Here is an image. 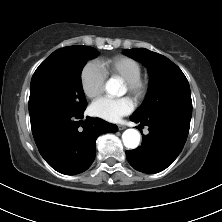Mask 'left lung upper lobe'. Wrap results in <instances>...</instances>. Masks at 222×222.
Returning a JSON list of instances; mask_svg holds the SVG:
<instances>
[{
    "label": "left lung upper lobe",
    "mask_w": 222,
    "mask_h": 222,
    "mask_svg": "<svg viewBox=\"0 0 222 222\" xmlns=\"http://www.w3.org/2000/svg\"><path fill=\"white\" fill-rule=\"evenodd\" d=\"M123 53L143 63L150 75L146 98L133 115L150 116L167 110H177L191 118L189 83L177 65L165 56L145 48L126 49Z\"/></svg>",
    "instance_id": "obj_1"
}]
</instances>
